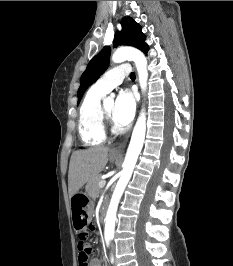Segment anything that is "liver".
<instances>
[{
    "instance_id": "liver-1",
    "label": "liver",
    "mask_w": 233,
    "mask_h": 266,
    "mask_svg": "<svg viewBox=\"0 0 233 266\" xmlns=\"http://www.w3.org/2000/svg\"><path fill=\"white\" fill-rule=\"evenodd\" d=\"M109 148L93 147L73 152L68 172L69 197L99 176L108 161Z\"/></svg>"
}]
</instances>
